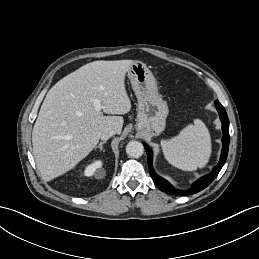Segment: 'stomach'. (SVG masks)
Masks as SVG:
<instances>
[{"label": "stomach", "instance_id": "0dacf381", "mask_svg": "<svg viewBox=\"0 0 259 259\" xmlns=\"http://www.w3.org/2000/svg\"><path fill=\"white\" fill-rule=\"evenodd\" d=\"M127 73L138 102L137 130L159 135L165 128L169 109L158 92L154 75L140 61H134Z\"/></svg>", "mask_w": 259, "mask_h": 259}]
</instances>
